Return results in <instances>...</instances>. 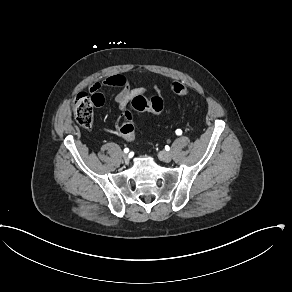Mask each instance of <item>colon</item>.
Returning a JSON list of instances; mask_svg holds the SVG:
<instances>
[{
	"instance_id": "5ec220e1",
	"label": "colon",
	"mask_w": 292,
	"mask_h": 292,
	"mask_svg": "<svg viewBox=\"0 0 292 292\" xmlns=\"http://www.w3.org/2000/svg\"><path fill=\"white\" fill-rule=\"evenodd\" d=\"M169 85L177 94L183 93L186 97H189L192 94V91L189 88L184 90L183 86L175 79H172L169 82ZM102 104L103 96L100 93H94L92 96H89L87 93H80L73 100L72 115L78 124H80L82 127H91L93 124L94 109L101 106ZM163 109L164 103L159 96H154L151 98L137 96L132 101L131 110L126 111L125 120L122 121L119 125L120 132L124 134V138L127 141L134 140L132 110L146 111L158 116L162 113Z\"/></svg>"
}]
</instances>
